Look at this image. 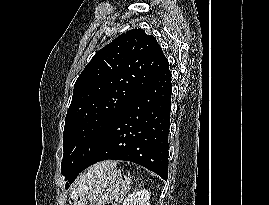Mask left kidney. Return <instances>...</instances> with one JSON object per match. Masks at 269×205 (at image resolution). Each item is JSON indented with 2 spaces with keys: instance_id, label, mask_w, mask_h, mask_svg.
<instances>
[{
  "instance_id": "1",
  "label": "left kidney",
  "mask_w": 269,
  "mask_h": 205,
  "mask_svg": "<svg viewBox=\"0 0 269 205\" xmlns=\"http://www.w3.org/2000/svg\"><path fill=\"white\" fill-rule=\"evenodd\" d=\"M150 193L148 190H140L130 194L123 202V205H150Z\"/></svg>"
}]
</instances>
